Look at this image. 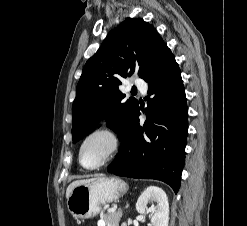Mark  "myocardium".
I'll return each instance as SVG.
<instances>
[{
	"instance_id": "myocardium-1",
	"label": "myocardium",
	"mask_w": 247,
	"mask_h": 226,
	"mask_svg": "<svg viewBox=\"0 0 247 226\" xmlns=\"http://www.w3.org/2000/svg\"><path fill=\"white\" fill-rule=\"evenodd\" d=\"M97 135H104L106 137L109 138L110 142H111V147L110 150L108 152V154L106 155V157L100 161L98 164L93 165V166H87L83 163V159H82V153H83V149L85 144L87 143V141L89 139H91L94 136ZM121 147V140L120 137L118 135V133L109 126H101V127H97L93 130H91L90 132H88L82 139L80 146H79V150H78V160L80 165L87 169V170H95V169H99L105 165H107L108 163H110L118 154L119 150Z\"/></svg>"
}]
</instances>
